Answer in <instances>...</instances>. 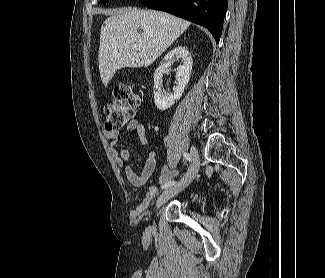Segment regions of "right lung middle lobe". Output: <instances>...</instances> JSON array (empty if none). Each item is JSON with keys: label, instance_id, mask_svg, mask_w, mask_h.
Segmentation results:
<instances>
[{"label": "right lung middle lobe", "instance_id": "right-lung-middle-lobe-1", "mask_svg": "<svg viewBox=\"0 0 325 278\" xmlns=\"http://www.w3.org/2000/svg\"><path fill=\"white\" fill-rule=\"evenodd\" d=\"M108 0H100L101 3H106Z\"/></svg>", "mask_w": 325, "mask_h": 278}]
</instances>
